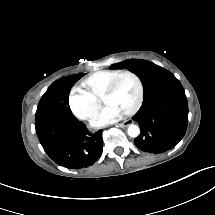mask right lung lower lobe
I'll list each match as a JSON object with an SVG mask.
<instances>
[{"mask_svg": "<svg viewBox=\"0 0 215 215\" xmlns=\"http://www.w3.org/2000/svg\"><path fill=\"white\" fill-rule=\"evenodd\" d=\"M35 127L44 151L60 166L87 168L102 154V130L90 133L78 120L52 121L35 124Z\"/></svg>", "mask_w": 215, "mask_h": 215, "instance_id": "1", "label": "right lung lower lobe"}]
</instances>
